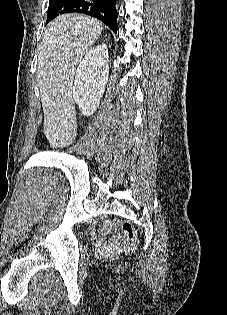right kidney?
Here are the masks:
<instances>
[{
    "label": "right kidney",
    "instance_id": "ca27d5eb",
    "mask_svg": "<svg viewBox=\"0 0 227 315\" xmlns=\"http://www.w3.org/2000/svg\"><path fill=\"white\" fill-rule=\"evenodd\" d=\"M109 76V55L102 43L88 50L76 71L73 98L84 116L98 108Z\"/></svg>",
    "mask_w": 227,
    "mask_h": 315
}]
</instances>
